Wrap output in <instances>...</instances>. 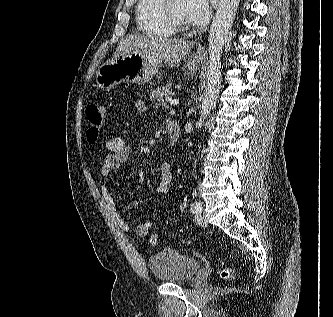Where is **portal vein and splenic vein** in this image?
<instances>
[{"instance_id":"portal-vein-and-splenic-vein-1","label":"portal vein and splenic vein","mask_w":333,"mask_h":317,"mask_svg":"<svg viewBox=\"0 0 333 317\" xmlns=\"http://www.w3.org/2000/svg\"><path fill=\"white\" fill-rule=\"evenodd\" d=\"M166 101H167L168 103H170V105H173V106L179 104V101H178V100H173V99H171V98H169V97L166 98Z\"/></svg>"}]
</instances>
